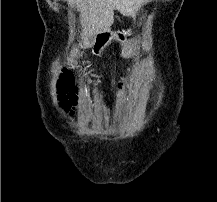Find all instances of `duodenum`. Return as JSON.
I'll list each match as a JSON object with an SVG mask.
<instances>
[{"label":"duodenum","mask_w":217,"mask_h":202,"mask_svg":"<svg viewBox=\"0 0 217 202\" xmlns=\"http://www.w3.org/2000/svg\"><path fill=\"white\" fill-rule=\"evenodd\" d=\"M118 42V36L115 32L104 31L97 35L94 52L99 55H104L110 45Z\"/></svg>","instance_id":"duodenum-1"}]
</instances>
